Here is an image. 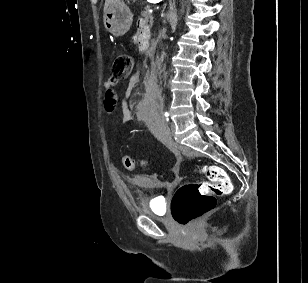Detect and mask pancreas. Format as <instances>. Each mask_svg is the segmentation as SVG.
<instances>
[{"label":"pancreas","instance_id":"cf45deb5","mask_svg":"<svg viewBox=\"0 0 308 283\" xmlns=\"http://www.w3.org/2000/svg\"><path fill=\"white\" fill-rule=\"evenodd\" d=\"M142 17L146 20V21H153V16L152 14L149 12V8H145V10L141 13Z\"/></svg>","mask_w":308,"mask_h":283}]
</instances>
